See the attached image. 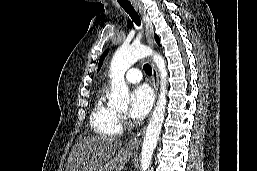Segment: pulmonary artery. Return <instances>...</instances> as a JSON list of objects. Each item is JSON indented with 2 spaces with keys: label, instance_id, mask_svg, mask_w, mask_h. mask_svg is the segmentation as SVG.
Returning a JSON list of instances; mask_svg holds the SVG:
<instances>
[{
  "label": "pulmonary artery",
  "instance_id": "pulmonary-artery-1",
  "mask_svg": "<svg viewBox=\"0 0 257 171\" xmlns=\"http://www.w3.org/2000/svg\"><path fill=\"white\" fill-rule=\"evenodd\" d=\"M125 79L129 83H139L142 80V73L137 68H131L127 71Z\"/></svg>",
  "mask_w": 257,
  "mask_h": 171
}]
</instances>
